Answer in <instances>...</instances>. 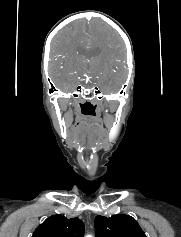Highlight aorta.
Instances as JSON below:
<instances>
[{"label":"aorta","instance_id":"762f6f07","mask_svg":"<svg viewBox=\"0 0 181 237\" xmlns=\"http://www.w3.org/2000/svg\"><path fill=\"white\" fill-rule=\"evenodd\" d=\"M86 237H92L91 235H87Z\"/></svg>","mask_w":181,"mask_h":237}]
</instances>
